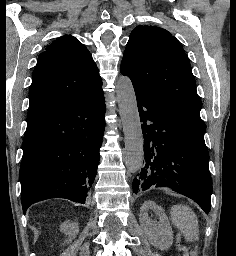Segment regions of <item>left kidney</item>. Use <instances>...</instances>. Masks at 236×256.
<instances>
[{"mask_svg": "<svg viewBox=\"0 0 236 256\" xmlns=\"http://www.w3.org/2000/svg\"><path fill=\"white\" fill-rule=\"evenodd\" d=\"M149 210H152L156 216H159V222H154V220L148 218ZM139 222L152 246L159 248V250H169L173 242V232L161 206H157L151 200L144 202L140 208Z\"/></svg>", "mask_w": 236, "mask_h": 256, "instance_id": "obj_1", "label": "left kidney"}]
</instances>
